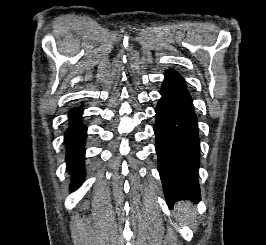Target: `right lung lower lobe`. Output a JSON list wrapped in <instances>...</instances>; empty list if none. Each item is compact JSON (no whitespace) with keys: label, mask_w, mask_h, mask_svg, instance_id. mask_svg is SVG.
Segmentation results:
<instances>
[{"label":"right lung lower lobe","mask_w":266,"mask_h":245,"mask_svg":"<svg viewBox=\"0 0 266 245\" xmlns=\"http://www.w3.org/2000/svg\"><path fill=\"white\" fill-rule=\"evenodd\" d=\"M83 108L75 107L69 112V127L65 132L66 163L71 174V190L77 189L84 180V143L87 128L80 122Z\"/></svg>","instance_id":"obj_1"}]
</instances>
